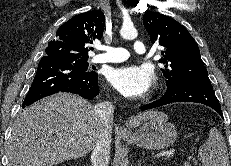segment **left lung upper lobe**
Segmentation results:
<instances>
[{"label":"left lung upper lobe","mask_w":231,"mask_h":166,"mask_svg":"<svg viewBox=\"0 0 231 166\" xmlns=\"http://www.w3.org/2000/svg\"><path fill=\"white\" fill-rule=\"evenodd\" d=\"M143 24L151 42L164 47L160 62L166 67L161 70L167 79V88L188 81L210 83L199 47L183 25L156 12L145 13Z\"/></svg>","instance_id":"left-lung-upper-lobe-1"}]
</instances>
